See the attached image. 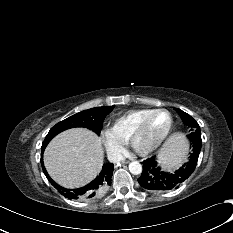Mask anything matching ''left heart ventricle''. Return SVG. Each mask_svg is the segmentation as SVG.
<instances>
[{
  "label": "left heart ventricle",
  "instance_id": "1",
  "mask_svg": "<svg viewBox=\"0 0 233 233\" xmlns=\"http://www.w3.org/2000/svg\"><path fill=\"white\" fill-rule=\"evenodd\" d=\"M169 122L166 112L160 111L155 113L149 120L144 133L138 141V145L142 148L154 143L165 131Z\"/></svg>",
  "mask_w": 233,
  "mask_h": 233
}]
</instances>
